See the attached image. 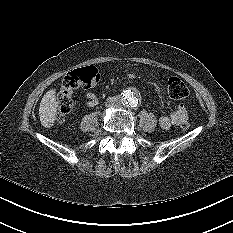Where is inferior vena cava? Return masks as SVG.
Wrapping results in <instances>:
<instances>
[{
    "label": "inferior vena cava",
    "instance_id": "1",
    "mask_svg": "<svg viewBox=\"0 0 233 233\" xmlns=\"http://www.w3.org/2000/svg\"><path fill=\"white\" fill-rule=\"evenodd\" d=\"M106 106L109 108H120L122 107V101L119 97H112L107 100Z\"/></svg>",
    "mask_w": 233,
    "mask_h": 233
}]
</instances>
